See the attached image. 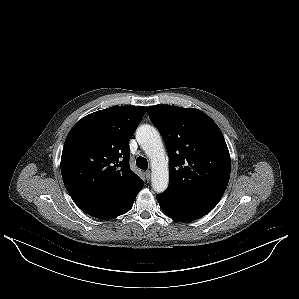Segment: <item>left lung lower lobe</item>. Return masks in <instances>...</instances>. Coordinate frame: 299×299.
<instances>
[{"label":"left lung lower lobe","mask_w":299,"mask_h":299,"mask_svg":"<svg viewBox=\"0 0 299 299\" xmlns=\"http://www.w3.org/2000/svg\"><path fill=\"white\" fill-rule=\"evenodd\" d=\"M221 198L206 195L163 193L157 195L162 211L180 221H192L211 211Z\"/></svg>","instance_id":"1"}]
</instances>
